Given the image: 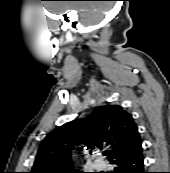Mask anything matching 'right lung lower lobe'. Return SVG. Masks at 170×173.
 <instances>
[{
    "label": "right lung lower lobe",
    "mask_w": 170,
    "mask_h": 173,
    "mask_svg": "<svg viewBox=\"0 0 170 173\" xmlns=\"http://www.w3.org/2000/svg\"><path fill=\"white\" fill-rule=\"evenodd\" d=\"M115 165L113 173H146L143 164L141 144L111 161Z\"/></svg>",
    "instance_id": "obj_1"
}]
</instances>
